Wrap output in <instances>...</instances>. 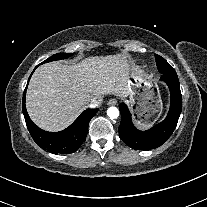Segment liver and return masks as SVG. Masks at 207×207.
<instances>
[{
  "label": "liver",
  "instance_id": "1",
  "mask_svg": "<svg viewBox=\"0 0 207 207\" xmlns=\"http://www.w3.org/2000/svg\"><path fill=\"white\" fill-rule=\"evenodd\" d=\"M129 95L127 63L121 55L95 56L75 65L51 62L33 74L26 95L31 120L41 129L68 127L92 98Z\"/></svg>",
  "mask_w": 207,
  "mask_h": 207
}]
</instances>
